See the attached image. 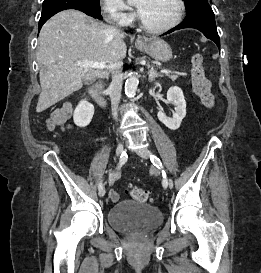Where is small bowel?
I'll return each mask as SVG.
<instances>
[{
  "label": "small bowel",
  "mask_w": 261,
  "mask_h": 273,
  "mask_svg": "<svg viewBox=\"0 0 261 273\" xmlns=\"http://www.w3.org/2000/svg\"><path fill=\"white\" fill-rule=\"evenodd\" d=\"M71 113H72V105L70 103L63 105L60 108H56L46 121L47 128L50 131H53L58 126L61 127L62 129L71 128V125L69 123ZM153 173H155V171H153ZM118 177H119V174L116 173L113 175L112 178L116 179ZM109 197L113 202H117L119 199L117 192L112 189L109 191Z\"/></svg>",
  "instance_id": "obj_1"
}]
</instances>
